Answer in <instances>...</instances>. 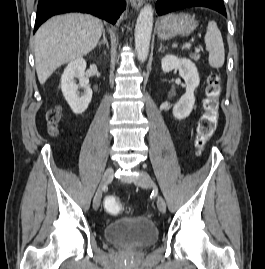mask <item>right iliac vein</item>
<instances>
[{
    "mask_svg": "<svg viewBox=\"0 0 265 269\" xmlns=\"http://www.w3.org/2000/svg\"><path fill=\"white\" fill-rule=\"evenodd\" d=\"M113 176H114V170L113 168H108L103 176H102V180H101V183H100V187L98 188L95 196H94V199H93V208L95 210H97L100 206V202H101V198H102V189L101 187H104L106 185H108L112 179H113Z\"/></svg>",
    "mask_w": 265,
    "mask_h": 269,
    "instance_id": "right-iliac-vein-1",
    "label": "right iliac vein"
}]
</instances>
